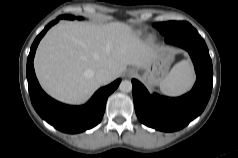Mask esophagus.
Here are the masks:
<instances>
[{
	"label": "esophagus",
	"instance_id": "1",
	"mask_svg": "<svg viewBox=\"0 0 238 158\" xmlns=\"http://www.w3.org/2000/svg\"><path fill=\"white\" fill-rule=\"evenodd\" d=\"M128 75H129V76L134 75V71H130Z\"/></svg>",
	"mask_w": 238,
	"mask_h": 158
}]
</instances>
